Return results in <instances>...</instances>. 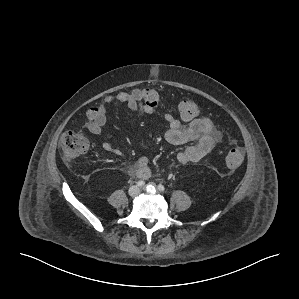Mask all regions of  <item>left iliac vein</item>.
<instances>
[{"mask_svg":"<svg viewBox=\"0 0 299 299\" xmlns=\"http://www.w3.org/2000/svg\"><path fill=\"white\" fill-rule=\"evenodd\" d=\"M147 187H143V190H147ZM151 188L153 189L154 192L158 193V190L154 184H151Z\"/></svg>","mask_w":299,"mask_h":299,"instance_id":"obj_1","label":"left iliac vein"}]
</instances>
